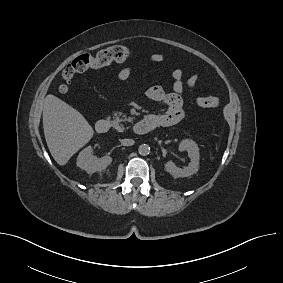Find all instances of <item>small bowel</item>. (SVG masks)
Masks as SVG:
<instances>
[{"instance_id":"c3829d8e","label":"small bowel","mask_w":283,"mask_h":283,"mask_svg":"<svg viewBox=\"0 0 283 283\" xmlns=\"http://www.w3.org/2000/svg\"><path fill=\"white\" fill-rule=\"evenodd\" d=\"M165 56L161 53L152 54L149 61L154 64L163 62ZM132 74L131 67H125L117 75L119 82H126ZM173 91L168 93L161 86L155 85L147 89L146 97L155 102H161L165 105L162 112L153 113L147 116L153 120L156 127H168L180 122L185 115L183 108L182 93L185 88H193L197 83L195 75L185 77L181 69H174L172 72Z\"/></svg>"}]
</instances>
